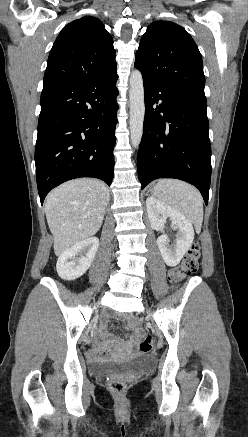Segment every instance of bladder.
<instances>
[{"instance_id":"bladder-1","label":"bladder","mask_w":248,"mask_h":437,"mask_svg":"<svg viewBox=\"0 0 248 437\" xmlns=\"http://www.w3.org/2000/svg\"><path fill=\"white\" fill-rule=\"evenodd\" d=\"M152 360L146 356L135 357L126 361H108L95 364L93 371L99 376L124 377L136 375L151 366Z\"/></svg>"}]
</instances>
